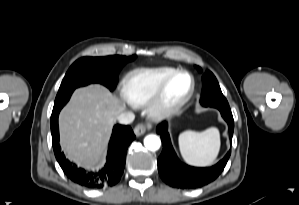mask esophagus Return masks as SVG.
<instances>
[{
    "instance_id": "esophagus-1",
    "label": "esophagus",
    "mask_w": 299,
    "mask_h": 205,
    "mask_svg": "<svg viewBox=\"0 0 299 205\" xmlns=\"http://www.w3.org/2000/svg\"><path fill=\"white\" fill-rule=\"evenodd\" d=\"M148 129H151V125L150 124H138L135 126L134 128V133L137 137L143 135Z\"/></svg>"
}]
</instances>
